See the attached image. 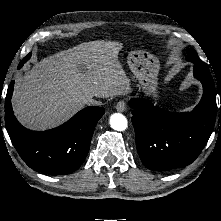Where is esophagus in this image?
I'll use <instances>...</instances> for the list:
<instances>
[{"instance_id":"esophagus-1","label":"esophagus","mask_w":221,"mask_h":221,"mask_svg":"<svg viewBox=\"0 0 221 221\" xmlns=\"http://www.w3.org/2000/svg\"><path fill=\"white\" fill-rule=\"evenodd\" d=\"M115 108H116V110H117L118 112H124V111H126V109H127V103H126V101L120 100V101L116 104Z\"/></svg>"}]
</instances>
